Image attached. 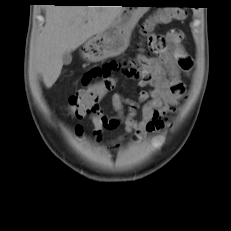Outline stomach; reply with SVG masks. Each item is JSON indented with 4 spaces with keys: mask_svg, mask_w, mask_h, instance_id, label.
Masks as SVG:
<instances>
[{
    "mask_svg": "<svg viewBox=\"0 0 231 231\" xmlns=\"http://www.w3.org/2000/svg\"><path fill=\"white\" fill-rule=\"evenodd\" d=\"M127 3L145 2L129 0ZM148 9L149 7H123L111 25L85 42L83 57L88 61L97 62L122 54L129 45L134 27Z\"/></svg>",
    "mask_w": 231,
    "mask_h": 231,
    "instance_id": "obj_1",
    "label": "stomach"
}]
</instances>
